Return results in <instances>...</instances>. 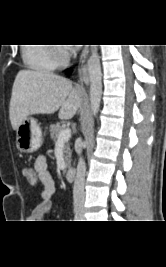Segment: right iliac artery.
<instances>
[{
	"instance_id": "right-iliac-artery-1",
	"label": "right iliac artery",
	"mask_w": 166,
	"mask_h": 267,
	"mask_svg": "<svg viewBox=\"0 0 166 267\" xmlns=\"http://www.w3.org/2000/svg\"><path fill=\"white\" fill-rule=\"evenodd\" d=\"M75 221H79V217L77 216V214L75 215Z\"/></svg>"
}]
</instances>
